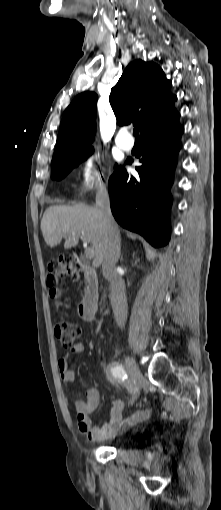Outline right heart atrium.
Wrapping results in <instances>:
<instances>
[{"label": "right heart atrium", "mask_w": 221, "mask_h": 510, "mask_svg": "<svg viewBox=\"0 0 221 510\" xmlns=\"http://www.w3.org/2000/svg\"><path fill=\"white\" fill-rule=\"evenodd\" d=\"M104 184L101 160L92 153H87L81 163L77 189L86 192L93 188H100Z\"/></svg>", "instance_id": "d8ad5b80"}]
</instances>
